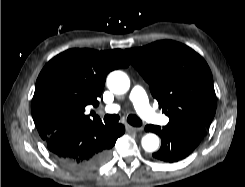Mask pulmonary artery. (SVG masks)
I'll return each instance as SVG.
<instances>
[{
	"label": "pulmonary artery",
	"instance_id": "1",
	"mask_svg": "<svg viewBox=\"0 0 245 187\" xmlns=\"http://www.w3.org/2000/svg\"><path fill=\"white\" fill-rule=\"evenodd\" d=\"M129 98L137 113L145 120L154 124H166L169 121L167 116L159 114L149 103L144 89L140 86H134L129 94ZM106 113H117L120 110L118 104H111L105 107Z\"/></svg>",
	"mask_w": 245,
	"mask_h": 187
}]
</instances>
